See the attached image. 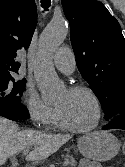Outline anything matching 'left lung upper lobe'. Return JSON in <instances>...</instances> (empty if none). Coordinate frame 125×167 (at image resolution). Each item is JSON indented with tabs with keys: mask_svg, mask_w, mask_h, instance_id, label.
<instances>
[{
	"mask_svg": "<svg viewBox=\"0 0 125 167\" xmlns=\"http://www.w3.org/2000/svg\"><path fill=\"white\" fill-rule=\"evenodd\" d=\"M77 67L95 90L109 121L125 114V39L121 27L96 0H62Z\"/></svg>",
	"mask_w": 125,
	"mask_h": 167,
	"instance_id": "1",
	"label": "left lung upper lobe"
}]
</instances>
